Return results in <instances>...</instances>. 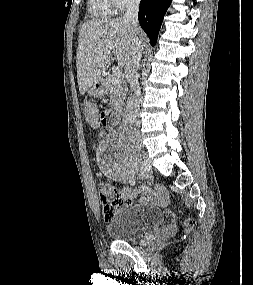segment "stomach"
Masks as SVG:
<instances>
[{"mask_svg":"<svg viewBox=\"0 0 253 285\" xmlns=\"http://www.w3.org/2000/svg\"><path fill=\"white\" fill-rule=\"evenodd\" d=\"M88 94L92 97H100L104 94V87L101 82L95 83L89 90Z\"/></svg>","mask_w":253,"mask_h":285,"instance_id":"0dacf381","label":"stomach"}]
</instances>
